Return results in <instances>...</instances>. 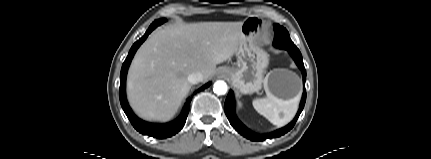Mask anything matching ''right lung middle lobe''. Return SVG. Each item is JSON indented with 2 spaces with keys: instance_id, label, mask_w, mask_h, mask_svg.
<instances>
[{
  "instance_id": "obj_1",
  "label": "right lung middle lobe",
  "mask_w": 431,
  "mask_h": 159,
  "mask_svg": "<svg viewBox=\"0 0 431 159\" xmlns=\"http://www.w3.org/2000/svg\"><path fill=\"white\" fill-rule=\"evenodd\" d=\"M166 21V19H159V20H155L152 24L155 26H159L161 24H163Z\"/></svg>"
}]
</instances>
